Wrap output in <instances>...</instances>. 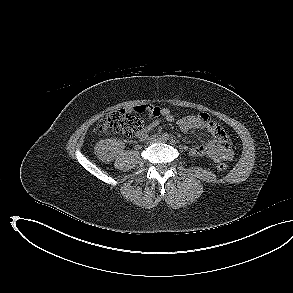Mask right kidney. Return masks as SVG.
Here are the masks:
<instances>
[{
  "label": "right kidney",
  "instance_id": "ca27d5eb",
  "mask_svg": "<svg viewBox=\"0 0 293 293\" xmlns=\"http://www.w3.org/2000/svg\"><path fill=\"white\" fill-rule=\"evenodd\" d=\"M122 147V142L116 139H104L96 143L94 151L99 160L108 163L114 160L116 151Z\"/></svg>",
  "mask_w": 293,
  "mask_h": 293
}]
</instances>
